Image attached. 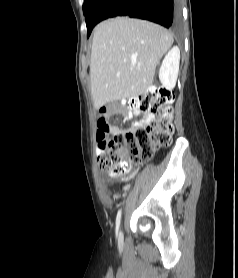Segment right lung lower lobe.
I'll use <instances>...</instances> for the list:
<instances>
[{
    "mask_svg": "<svg viewBox=\"0 0 238 278\" xmlns=\"http://www.w3.org/2000/svg\"><path fill=\"white\" fill-rule=\"evenodd\" d=\"M128 15L158 23L166 28L181 24L179 0H96L86 13L87 37L100 21Z\"/></svg>",
    "mask_w": 238,
    "mask_h": 278,
    "instance_id": "1",
    "label": "right lung lower lobe"
}]
</instances>
